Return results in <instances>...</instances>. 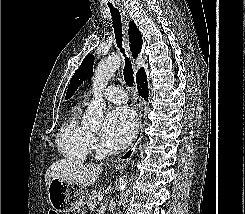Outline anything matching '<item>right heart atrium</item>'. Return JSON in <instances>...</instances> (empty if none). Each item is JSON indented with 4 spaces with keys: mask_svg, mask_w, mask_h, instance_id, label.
<instances>
[{
    "mask_svg": "<svg viewBox=\"0 0 245 214\" xmlns=\"http://www.w3.org/2000/svg\"><path fill=\"white\" fill-rule=\"evenodd\" d=\"M89 143H90V148H92V149L97 148V141L94 137L90 136Z\"/></svg>",
    "mask_w": 245,
    "mask_h": 214,
    "instance_id": "obj_1",
    "label": "right heart atrium"
}]
</instances>
